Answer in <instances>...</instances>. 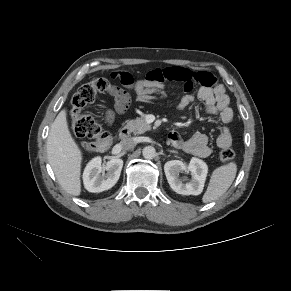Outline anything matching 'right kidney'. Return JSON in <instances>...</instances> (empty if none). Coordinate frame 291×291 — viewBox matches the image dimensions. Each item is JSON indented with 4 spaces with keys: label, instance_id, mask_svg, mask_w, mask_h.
I'll list each match as a JSON object with an SVG mask.
<instances>
[{
    "label": "right kidney",
    "instance_id": "ca27d5eb",
    "mask_svg": "<svg viewBox=\"0 0 291 291\" xmlns=\"http://www.w3.org/2000/svg\"><path fill=\"white\" fill-rule=\"evenodd\" d=\"M101 158H93L86 166L83 173L85 188L92 193H99L112 188L118 181L123 167V160L113 158L109 160L104 168L101 166ZM106 170V174H101Z\"/></svg>",
    "mask_w": 291,
    "mask_h": 291
}]
</instances>
